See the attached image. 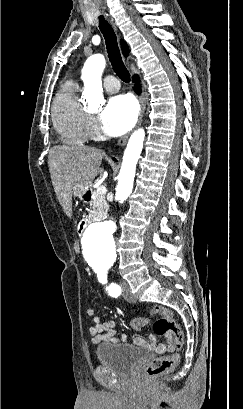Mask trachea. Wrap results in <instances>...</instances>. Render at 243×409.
<instances>
[{
	"label": "trachea",
	"mask_w": 243,
	"mask_h": 409,
	"mask_svg": "<svg viewBox=\"0 0 243 409\" xmlns=\"http://www.w3.org/2000/svg\"><path fill=\"white\" fill-rule=\"evenodd\" d=\"M99 20H100L99 28L106 42V49H107V53H108V57L111 62V65L114 71L116 72V74L119 76V78L122 81L128 83L130 82V74L122 61L120 50L117 44L116 34L113 28L104 19L102 15L99 16Z\"/></svg>",
	"instance_id": "3493384b"
}]
</instances>
